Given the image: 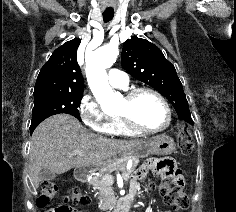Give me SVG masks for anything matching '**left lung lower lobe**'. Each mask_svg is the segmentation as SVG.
<instances>
[{
    "mask_svg": "<svg viewBox=\"0 0 236 212\" xmlns=\"http://www.w3.org/2000/svg\"><path fill=\"white\" fill-rule=\"evenodd\" d=\"M182 120H184V121H189V123L190 124H193V120H192V118H187V117H184V118H181Z\"/></svg>",
    "mask_w": 236,
    "mask_h": 212,
    "instance_id": "obj_1",
    "label": "left lung lower lobe"
}]
</instances>
